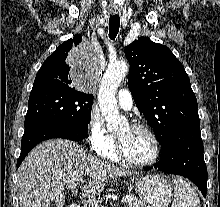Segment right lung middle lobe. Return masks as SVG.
<instances>
[{
  "mask_svg": "<svg viewBox=\"0 0 220 207\" xmlns=\"http://www.w3.org/2000/svg\"><path fill=\"white\" fill-rule=\"evenodd\" d=\"M93 95L75 88L42 86L32 88L25 127L32 123H53L88 128Z\"/></svg>",
  "mask_w": 220,
  "mask_h": 207,
  "instance_id": "obj_1",
  "label": "right lung middle lobe"
}]
</instances>
